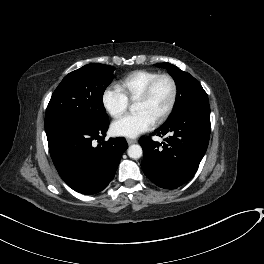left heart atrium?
Masks as SVG:
<instances>
[{"mask_svg": "<svg viewBox=\"0 0 264 264\" xmlns=\"http://www.w3.org/2000/svg\"><path fill=\"white\" fill-rule=\"evenodd\" d=\"M154 125V120L144 112L127 115L115 121L112 125L114 134L134 138L148 131Z\"/></svg>", "mask_w": 264, "mask_h": 264, "instance_id": "left-heart-atrium-1", "label": "left heart atrium"}]
</instances>
